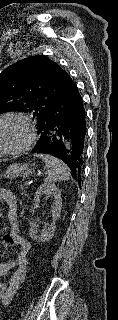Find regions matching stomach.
Instances as JSON below:
<instances>
[{
  "mask_svg": "<svg viewBox=\"0 0 118 320\" xmlns=\"http://www.w3.org/2000/svg\"><path fill=\"white\" fill-rule=\"evenodd\" d=\"M36 167V163L32 161L14 162L7 167L3 176L10 179H14L19 176L25 177L32 173Z\"/></svg>",
  "mask_w": 118,
  "mask_h": 320,
  "instance_id": "stomach-1",
  "label": "stomach"
}]
</instances>
